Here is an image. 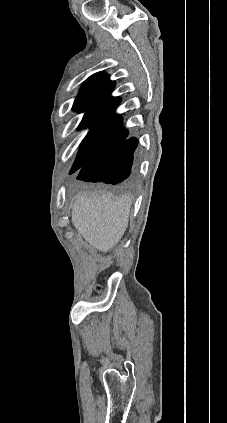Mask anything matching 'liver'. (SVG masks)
Instances as JSON below:
<instances>
[{"label": "liver", "instance_id": "liver-1", "mask_svg": "<svg viewBox=\"0 0 227 423\" xmlns=\"http://www.w3.org/2000/svg\"><path fill=\"white\" fill-rule=\"evenodd\" d=\"M131 198H114L109 192L77 194L71 221L85 241L107 253L119 243L129 223Z\"/></svg>", "mask_w": 227, "mask_h": 423}]
</instances>
